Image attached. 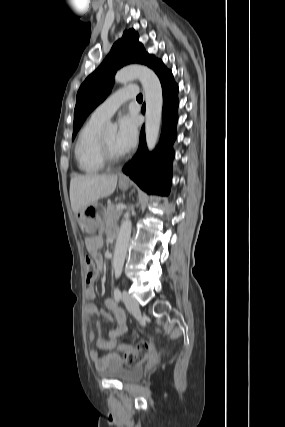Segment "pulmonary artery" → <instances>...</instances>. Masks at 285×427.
<instances>
[{"mask_svg":"<svg viewBox=\"0 0 285 427\" xmlns=\"http://www.w3.org/2000/svg\"><path fill=\"white\" fill-rule=\"evenodd\" d=\"M138 94V88L135 85H127L109 96L92 113L94 119L107 121L116 110L127 100L133 99Z\"/></svg>","mask_w":285,"mask_h":427,"instance_id":"e3ab8cb5","label":"pulmonary artery"}]
</instances>
